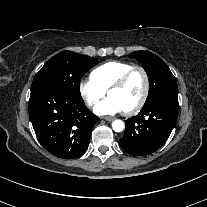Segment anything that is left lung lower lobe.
<instances>
[{
    "instance_id": "left-lung-lower-lobe-1",
    "label": "left lung lower lobe",
    "mask_w": 207,
    "mask_h": 207,
    "mask_svg": "<svg viewBox=\"0 0 207 207\" xmlns=\"http://www.w3.org/2000/svg\"><path fill=\"white\" fill-rule=\"evenodd\" d=\"M178 109V92L155 97L138 115L126 120L125 134L119 139L122 149L134 156L157 151L173 130Z\"/></svg>"
}]
</instances>
